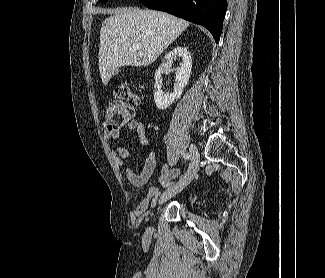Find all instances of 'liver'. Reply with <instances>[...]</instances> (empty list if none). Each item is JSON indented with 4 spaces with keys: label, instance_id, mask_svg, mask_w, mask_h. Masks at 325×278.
<instances>
[{
    "label": "liver",
    "instance_id": "liver-1",
    "mask_svg": "<svg viewBox=\"0 0 325 278\" xmlns=\"http://www.w3.org/2000/svg\"><path fill=\"white\" fill-rule=\"evenodd\" d=\"M100 30L99 71L106 86L117 68L148 66L189 26L165 12L140 9L107 11ZM140 44L141 48L133 46Z\"/></svg>",
    "mask_w": 325,
    "mask_h": 278
}]
</instances>
